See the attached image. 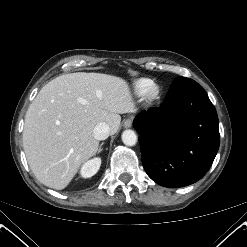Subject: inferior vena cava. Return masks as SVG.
<instances>
[{
	"instance_id": "1",
	"label": "inferior vena cava",
	"mask_w": 247,
	"mask_h": 247,
	"mask_svg": "<svg viewBox=\"0 0 247 247\" xmlns=\"http://www.w3.org/2000/svg\"><path fill=\"white\" fill-rule=\"evenodd\" d=\"M109 134V126L105 122L97 124L93 130V136L96 140H105Z\"/></svg>"
}]
</instances>
